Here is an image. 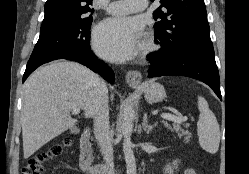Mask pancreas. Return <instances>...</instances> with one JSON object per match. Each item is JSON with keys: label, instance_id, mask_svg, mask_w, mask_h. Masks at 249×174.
Wrapping results in <instances>:
<instances>
[{"label": "pancreas", "instance_id": "cf45deb5", "mask_svg": "<svg viewBox=\"0 0 249 174\" xmlns=\"http://www.w3.org/2000/svg\"><path fill=\"white\" fill-rule=\"evenodd\" d=\"M166 127H168L172 132H176L179 137H185V140H189L191 133L188 130H184L179 124L173 123L169 125L167 122H163ZM187 126V125H186Z\"/></svg>", "mask_w": 249, "mask_h": 174}]
</instances>
